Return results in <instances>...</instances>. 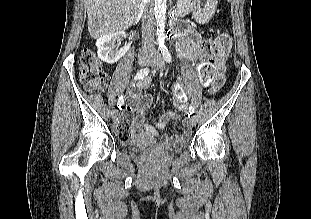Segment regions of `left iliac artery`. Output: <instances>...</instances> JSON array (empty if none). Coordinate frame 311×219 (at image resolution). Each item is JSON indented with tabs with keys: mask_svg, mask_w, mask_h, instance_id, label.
I'll return each mask as SVG.
<instances>
[{
	"mask_svg": "<svg viewBox=\"0 0 311 219\" xmlns=\"http://www.w3.org/2000/svg\"><path fill=\"white\" fill-rule=\"evenodd\" d=\"M161 53L163 54L165 61L170 63L171 62V55H170V52L168 51V49L166 47L162 48ZM189 112H190V114H194V112H195L194 107L192 105H189Z\"/></svg>",
	"mask_w": 311,
	"mask_h": 219,
	"instance_id": "left-iliac-artery-1",
	"label": "left iliac artery"
}]
</instances>
